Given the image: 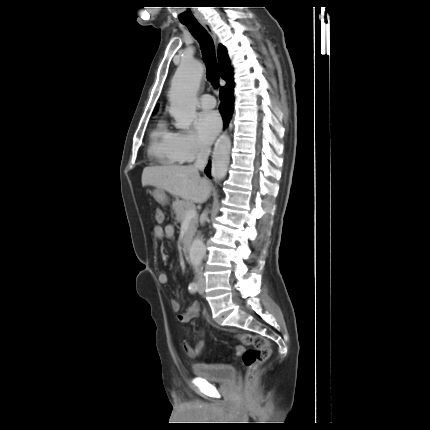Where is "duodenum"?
<instances>
[{
    "instance_id": "duodenum-1",
    "label": "duodenum",
    "mask_w": 430,
    "mask_h": 430,
    "mask_svg": "<svg viewBox=\"0 0 430 430\" xmlns=\"http://www.w3.org/2000/svg\"><path fill=\"white\" fill-rule=\"evenodd\" d=\"M183 255L184 258L190 262L191 261V244L189 240H186L183 244Z\"/></svg>"
}]
</instances>
